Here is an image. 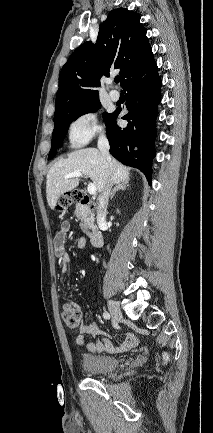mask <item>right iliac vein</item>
I'll use <instances>...</instances> for the list:
<instances>
[{
	"mask_svg": "<svg viewBox=\"0 0 213 433\" xmlns=\"http://www.w3.org/2000/svg\"><path fill=\"white\" fill-rule=\"evenodd\" d=\"M108 308H109V311H110L112 317L116 321H120L122 319V312H121V309H120L119 305L117 304V302H115L114 300H109L108 301Z\"/></svg>",
	"mask_w": 213,
	"mask_h": 433,
	"instance_id": "1",
	"label": "right iliac vein"
}]
</instances>
